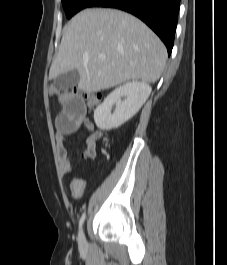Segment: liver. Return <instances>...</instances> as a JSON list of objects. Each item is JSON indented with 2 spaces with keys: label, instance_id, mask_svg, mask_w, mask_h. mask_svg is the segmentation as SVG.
<instances>
[{
  "label": "liver",
  "instance_id": "1",
  "mask_svg": "<svg viewBox=\"0 0 227 265\" xmlns=\"http://www.w3.org/2000/svg\"><path fill=\"white\" fill-rule=\"evenodd\" d=\"M166 60L165 45L138 18L114 9H86L64 27L49 79L75 69L78 88L89 93L129 80L155 83Z\"/></svg>",
  "mask_w": 227,
  "mask_h": 265
}]
</instances>
